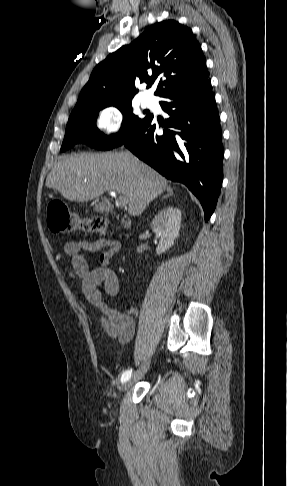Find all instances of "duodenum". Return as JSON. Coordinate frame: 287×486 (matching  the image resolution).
<instances>
[{"instance_id":"duodenum-1","label":"duodenum","mask_w":287,"mask_h":486,"mask_svg":"<svg viewBox=\"0 0 287 486\" xmlns=\"http://www.w3.org/2000/svg\"><path fill=\"white\" fill-rule=\"evenodd\" d=\"M124 227H129V222L127 220H123Z\"/></svg>"}]
</instances>
